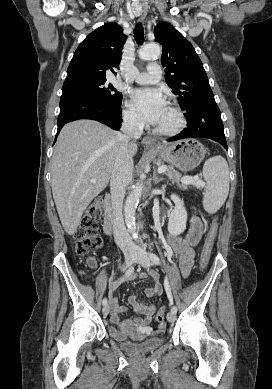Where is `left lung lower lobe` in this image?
<instances>
[{
    "label": "left lung lower lobe",
    "mask_w": 272,
    "mask_h": 389,
    "mask_svg": "<svg viewBox=\"0 0 272 389\" xmlns=\"http://www.w3.org/2000/svg\"><path fill=\"white\" fill-rule=\"evenodd\" d=\"M186 120L188 127L168 141L202 137L212 139L220 143L226 150L228 149L220 110L214 97L202 101L191 109L186 114Z\"/></svg>",
    "instance_id": "left-lung-lower-lobe-1"
}]
</instances>
